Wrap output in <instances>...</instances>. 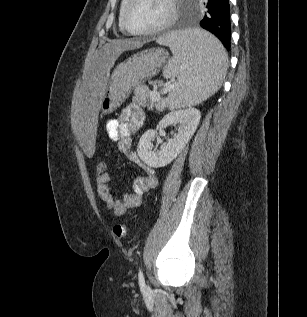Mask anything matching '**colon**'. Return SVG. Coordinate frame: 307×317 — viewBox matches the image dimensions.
<instances>
[{
	"mask_svg": "<svg viewBox=\"0 0 307 317\" xmlns=\"http://www.w3.org/2000/svg\"><path fill=\"white\" fill-rule=\"evenodd\" d=\"M95 172L98 176L107 172V164L104 160L97 161ZM114 236L118 239H123L127 235V227L123 223H118L113 227Z\"/></svg>",
	"mask_w": 307,
	"mask_h": 317,
	"instance_id": "1",
	"label": "colon"
}]
</instances>
